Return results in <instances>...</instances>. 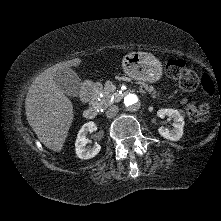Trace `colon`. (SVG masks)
I'll list each match as a JSON object with an SVG mask.
<instances>
[{
	"label": "colon",
	"mask_w": 221,
	"mask_h": 221,
	"mask_svg": "<svg viewBox=\"0 0 221 221\" xmlns=\"http://www.w3.org/2000/svg\"><path fill=\"white\" fill-rule=\"evenodd\" d=\"M167 75L177 81L180 89L185 92H192L200 88L206 95L214 93V85L210 77L206 74L198 75L189 69L182 59H173L165 66ZM186 108L189 118L195 122H203L209 117V107L205 104L195 106L186 100L182 102Z\"/></svg>",
	"instance_id": "5ec220e1"
}]
</instances>
